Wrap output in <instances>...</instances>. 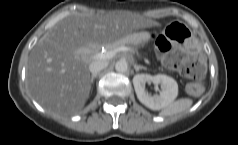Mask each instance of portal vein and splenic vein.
Segmentation results:
<instances>
[{"mask_svg": "<svg viewBox=\"0 0 238 145\" xmlns=\"http://www.w3.org/2000/svg\"><path fill=\"white\" fill-rule=\"evenodd\" d=\"M129 51H134L138 54V52L136 50H134L133 48H126ZM118 52V49H114L105 53H98L96 55L93 56L94 59H110L113 56H115V54Z\"/></svg>", "mask_w": 238, "mask_h": 145, "instance_id": "1", "label": "portal vein and splenic vein"}]
</instances>
